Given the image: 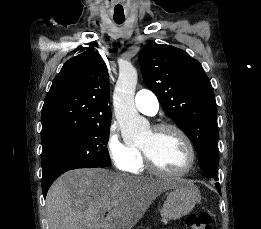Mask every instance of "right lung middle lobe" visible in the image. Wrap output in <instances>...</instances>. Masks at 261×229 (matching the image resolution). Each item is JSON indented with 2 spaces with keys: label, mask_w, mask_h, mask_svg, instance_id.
I'll list each match as a JSON object with an SVG mask.
<instances>
[{
  "label": "right lung middle lobe",
  "mask_w": 261,
  "mask_h": 229,
  "mask_svg": "<svg viewBox=\"0 0 261 229\" xmlns=\"http://www.w3.org/2000/svg\"><path fill=\"white\" fill-rule=\"evenodd\" d=\"M110 123L96 124L78 136L42 150L43 176L60 170L109 167Z\"/></svg>",
  "instance_id": "obj_1"
}]
</instances>
